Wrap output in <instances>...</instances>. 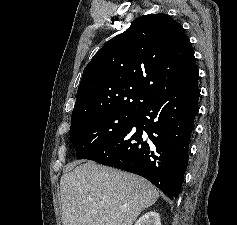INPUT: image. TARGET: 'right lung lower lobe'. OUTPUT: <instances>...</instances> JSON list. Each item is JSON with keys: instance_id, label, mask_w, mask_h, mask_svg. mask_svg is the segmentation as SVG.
Returning a JSON list of instances; mask_svg holds the SVG:
<instances>
[{"instance_id": "right-lung-lower-lobe-1", "label": "right lung lower lobe", "mask_w": 237, "mask_h": 225, "mask_svg": "<svg viewBox=\"0 0 237 225\" xmlns=\"http://www.w3.org/2000/svg\"><path fill=\"white\" fill-rule=\"evenodd\" d=\"M199 95L198 85L160 94L136 112L123 132L85 159L138 174L176 199L188 165Z\"/></svg>"}]
</instances>
